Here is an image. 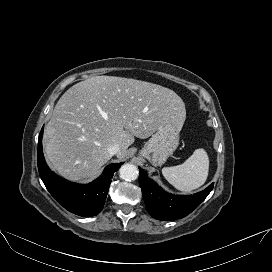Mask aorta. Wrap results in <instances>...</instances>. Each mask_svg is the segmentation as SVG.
<instances>
[{
    "mask_svg": "<svg viewBox=\"0 0 272 272\" xmlns=\"http://www.w3.org/2000/svg\"><path fill=\"white\" fill-rule=\"evenodd\" d=\"M138 173V168L130 163L124 164L119 170L120 178L126 181L136 180Z\"/></svg>",
    "mask_w": 272,
    "mask_h": 272,
    "instance_id": "1",
    "label": "aorta"
}]
</instances>
